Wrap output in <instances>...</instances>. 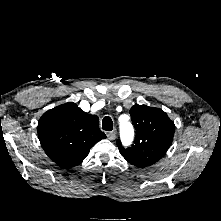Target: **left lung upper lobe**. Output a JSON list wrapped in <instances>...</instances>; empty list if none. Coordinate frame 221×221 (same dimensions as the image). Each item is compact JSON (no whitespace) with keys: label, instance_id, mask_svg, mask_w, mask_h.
Here are the masks:
<instances>
[{"label":"left lung upper lobe","instance_id":"5c2ea615","mask_svg":"<svg viewBox=\"0 0 221 221\" xmlns=\"http://www.w3.org/2000/svg\"><path fill=\"white\" fill-rule=\"evenodd\" d=\"M130 114L136 129L134 144L125 149L118 140L117 146L129 163L144 168L166 153L173 140L175 126L159 108L135 104Z\"/></svg>","mask_w":221,"mask_h":221}]
</instances>
